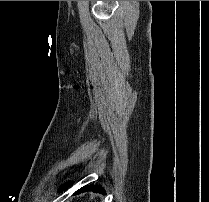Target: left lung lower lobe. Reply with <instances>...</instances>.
<instances>
[{"label": "left lung lower lobe", "mask_w": 209, "mask_h": 202, "mask_svg": "<svg viewBox=\"0 0 209 202\" xmlns=\"http://www.w3.org/2000/svg\"><path fill=\"white\" fill-rule=\"evenodd\" d=\"M70 184L67 183L63 186L60 187L59 191H63V190H66L67 187H69ZM87 191H93L95 193H102V194H106L104 188H102L101 186L99 185H87V186H84L82 187L81 189H79L78 191L75 192V194H79V193H82V192H87Z\"/></svg>", "instance_id": "1"}]
</instances>
